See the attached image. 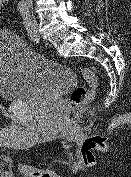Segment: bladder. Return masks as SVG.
I'll list each match as a JSON object with an SVG mask.
<instances>
[{
	"mask_svg": "<svg viewBox=\"0 0 131 177\" xmlns=\"http://www.w3.org/2000/svg\"><path fill=\"white\" fill-rule=\"evenodd\" d=\"M75 83L70 68L29 49L12 31H0V99L9 103L49 99Z\"/></svg>",
	"mask_w": 131,
	"mask_h": 177,
	"instance_id": "1",
	"label": "bladder"
}]
</instances>
